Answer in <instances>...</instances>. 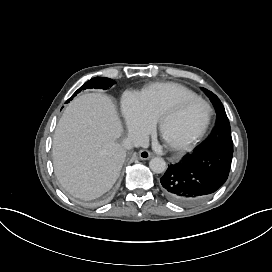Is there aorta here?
I'll use <instances>...</instances> for the list:
<instances>
[{"instance_id": "aorta-1", "label": "aorta", "mask_w": 272, "mask_h": 272, "mask_svg": "<svg viewBox=\"0 0 272 272\" xmlns=\"http://www.w3.org/2000/svg\"><path fill=\"white\" fill-rule=\"evenodd\" d=\"M149 167L155 174H160L166 171V162L163 158L155 157L150 160Z\"/></svg>"}]
</instances>
